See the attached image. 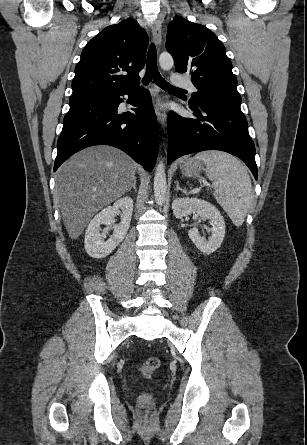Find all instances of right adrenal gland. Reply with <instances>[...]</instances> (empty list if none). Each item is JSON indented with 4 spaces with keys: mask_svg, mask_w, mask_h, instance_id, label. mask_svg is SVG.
<instances>
[{
    "mask_svg": "<svg viewBox=\"0 0 307 445\" xmlns=\"http://www.w3.org/2000/svg\"><path fill=\"white\" fill-rule=\"evenodd\" d=\"M136 178H137V176H134V180H133L131 186H129L127 192H130L131 188H134V190H136Z\"/></svg>",
    "mask_w": 307,
    "mask_h": 445,
    "instance_id": "1",
    "label": "right adrenal gland"
}]
</instances>
